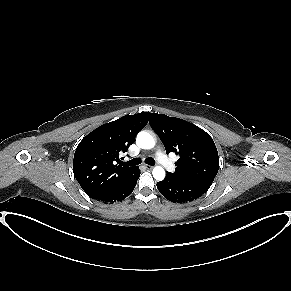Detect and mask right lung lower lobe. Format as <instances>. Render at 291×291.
Masks as SVG:
<instances>
[{
	"mask_svg": "<svg viewBox=\"0 0 291 291\" xmlns=\"http://www.w3.org/2000/svg\"><path fill=\"white\" fill-rule=\"evenodd\" d=\"M139 176H140V170L137 167L133 171V173L128 178H126L117 188L97 198L96 200L103 202L105 204L122 201L124 198H126L128 195L132 193Z\"/></svg>",
	"mask_w": 291,
	"mask_h": 291,
	"instance_id": "right-lung-lower-lobe-1",
	"label": "right lung lower lobe"
}]
</instances>
